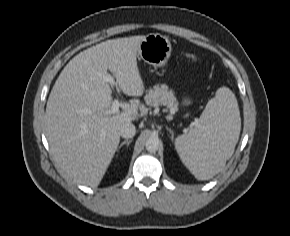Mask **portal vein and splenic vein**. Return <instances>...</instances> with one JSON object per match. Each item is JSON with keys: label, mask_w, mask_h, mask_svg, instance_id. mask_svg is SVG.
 <instances>
[{"label": "portal vein and splenic vein", "mask_w": 290, "mask_h": 236, "mask_svg": "<svg viewBox=\"0 0 290 236\" xmlns=\"http://www.w3.org/2000/svg\"><path fill=\"white\" fill-rule=\"evenodd\" d=\"M107 81L111 84V85H116L115 83V80L114 78L109 75L107 77ZM121 104L119 102L118 99H115L113 102H112V105H111V108L106 112V114H115V113H118L119 112V108H120Z\"/></svg>", "instance_id": "obj_1"}]
</instances>
